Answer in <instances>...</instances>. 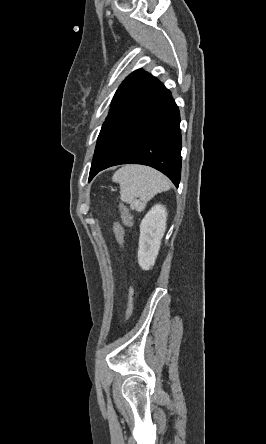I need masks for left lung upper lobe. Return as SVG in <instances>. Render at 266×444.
Returning <instances> with one entry per match:
<instances>
[{
    "instance_id": "5c2ea615",
    "label": "left lung upper lobe",
    "mask_w": 266,
    "mask_h": 444,
    "mask_svg": "<svg viewBox=\"0 0 266 444\" xmlns=\"http://www.w3.org/2000/svg\"><path fill=\"white\" fill-rule=\"evenodd\" d=\"M159 83L160 82L155 77L141 69L132 72L126 77L116 91L108 116L114 111L122 109L132 103Z\"/></svg>"
}]
</instances>
